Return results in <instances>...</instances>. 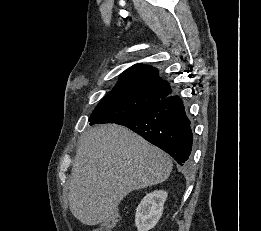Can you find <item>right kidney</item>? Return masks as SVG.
Listing matches in <instances>:
<instances>
[{
    "mask_svg": "<svg viewBox=\"0 0 261 231\" xmlns=\"http://www.w3.org/2000/svg\"><path fill=\"white\" fill-rule=\"evenodd\" d=\"M167 195L166 191L156 190L142 199L135 214V225L138 231H149L155 227L163 213Z\"/></svg>",
    "mask_w": 261,
    "mask_h": 231,
    "instance_id": "right-kidney-1",
    "label": "right kidney"
}]
</instances>
